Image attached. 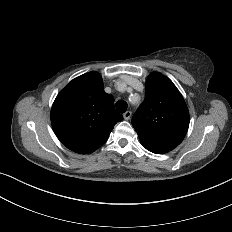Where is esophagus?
Listing matches in <instances>:
<instances>
[{
  "mask_svg": "<svg viewBox=\"0 0 232 232\" xmlns=\"http://www.w3.org/2000/svg\"><path fill=\"white\" fill-rule=\"evenodd\" d=\"M132 115V112L131 111H126L124 114H123V117L125 120H129L130 117Z\"/></svg>",
  "mask_w": 232,
  "mask_h": 232,
  "instance_id": "esophagus-1",
  "label": "esophagus"
}]
</instances>
